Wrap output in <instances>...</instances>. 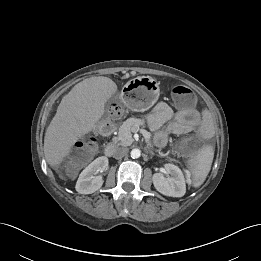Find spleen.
<instances>
[{
    "instance_id": "1",
    "label": "spleen",
    "mask_w": 261,
    "mask_h": 261,
    "mask_svg": "<svg viewBox=\"0 0 261 261\" xmlns=\"http://www.w3.org/2000/svg\"><path fill=\"white\" fill-rule=\"evenodd\" d=\"M214 150L212 146H204L198 154L189 160V171L191 179H188L194 187L201 186L208 173L210 172L211 165L213 162Z\"/></svg>"
}]
</instances>
